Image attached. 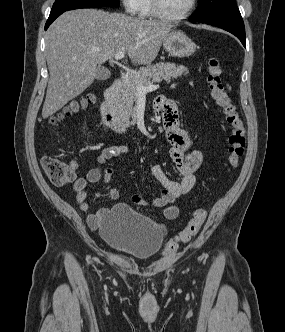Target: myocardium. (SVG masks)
Wrapping results in <instances>:
<instances>
[{
	"label": "myocardium",
	"mask_w": 285,
	"mask_h": 332,
	"mask_svg": "<svg viewBox=\"0 0 285 332\" xmlns=\"http://www.w3.org/2000/svg\"><path fill=\"white\" fill-rule=\"evenodd\" d=\"M152 2V11L153 14L156 18L167 21V22H178L186 19L187 17L190 16V14L194 11L196 5H197V0H191L189 7L186 9L184 13L178 16H171L168 15L162 7V2L161 0H151Z\"/></svg>",
	"instance_id": "myocardium-1"
}]
</instances>
